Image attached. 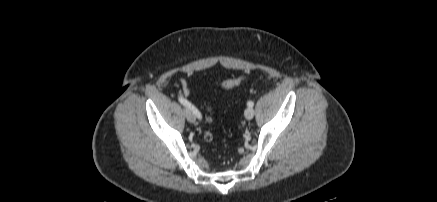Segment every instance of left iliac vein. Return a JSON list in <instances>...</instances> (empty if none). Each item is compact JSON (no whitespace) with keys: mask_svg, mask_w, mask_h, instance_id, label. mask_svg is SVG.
<instances>
[{"mask_svg":"<svg viewBox=\"0 0 437 202\" xmlns=\"http://www.w3.org/2000/svg\"><path fill=\"white\" fill-rule=\"evenodd\" d=\"M244 115H245V118H246L247 120H251V119L253 118V116H254V110H253V108H252V107H248V108L245 110Z\"/></svg>","mask_w":437,"mask_h":202,"instance_id":"obj_1","label":"left iliac vein"}]
</instances>
